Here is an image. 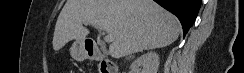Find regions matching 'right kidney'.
<instances>
[{"label":"right kidney","mask_w":244,"mask_h":73,"mask_svg":"<svg viewBox=\"0 0 244 73\" xmlns=\"http://www.w3.org/2000/svg\"><path fill=\"white\" fill-rule=\"evenodd\" d=\"M159 55L150 51L138 57L130 66L133 73H157L159 68ZM141 67L143 69L141 70Z\"/></svg>","instance_id":"1"}]
</instances>
